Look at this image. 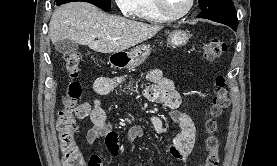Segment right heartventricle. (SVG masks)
Returning a JSON list of instances; mask_svg holds the SVG:
<instances>
[{
    "label": "right heart ventricle",
    "instance_id": "obj_1",
    "mask_svg": "<svg viewBox=\"0 0 277 166\" xmlns=\"http://www.w3.org/2000/svg\"><path fill=\"white\" fill-rule=\"evenodd\" d=\"M131 14L139 20L148 23L167 22V19L159 13L155 0H135Z\"/></svg>",
    "mask_w": 277,
    "mask_h": 166
}]
</instances>
